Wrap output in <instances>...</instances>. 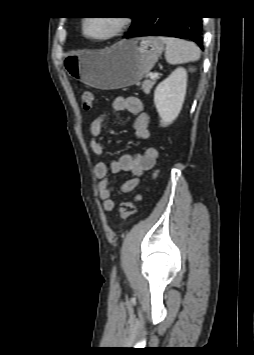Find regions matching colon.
<instances>
[{"mask_svg": "<svg viewBox=\"0 0 254 355\" xmlns=\"http://www.w3.org/2000/svg\"><path fill=\"white\" fill-rule=\"evenodd\" d=\"M81 103L84 109L90 110L93 108L95 102V96L91 91L85 90L80 95ZM157 175V170H154L151 174V178ZM140 200V196L136 195L132 200L122 202L119 208L120 219L125 220L133 215L137 208V203Z\"/></svg>", "mask_w": 254, "mask_h": 355, "instance_id": "obj_1", "label": "colon"}]
</instances>
